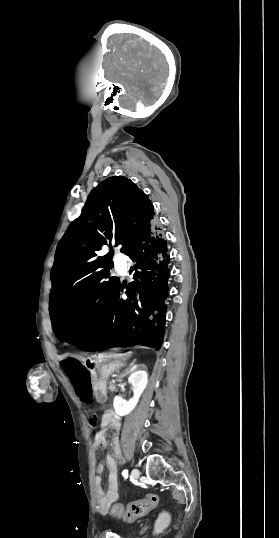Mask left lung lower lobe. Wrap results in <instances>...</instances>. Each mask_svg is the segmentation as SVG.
I'll return each mask as SVG.
<instances>
[{"label":"left lung lower lobe","instance_id":"0a47b994","mask_svg":"<svg viewBox=\"0 0 279 538\" xmlns=\"http://www.w3.org/2000/svg\"><path fill=\"white\" fill-rule=\"evenodd\" d=\"M158 228L150 226L141 239L127 251L134 267L132 283L126 288L130 299H120L122 285L116 292L105 321L91 336L67 332L60 340L87 351L111 347L144 345L159 350L163 340L168 295L169 255L167 241Z\"/></svg>","mask_w":279,"mask_h":538}]
</instances>
